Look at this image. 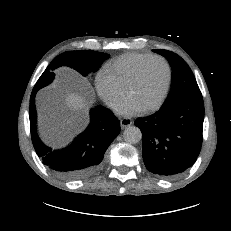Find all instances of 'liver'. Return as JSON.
I'll return each instance as SVG.
<instances>
[{"label":"liver","mask_w":231,"mask_h":231,"mask_svg":"<svg viewBox=\"0 0 231 231\" xmlns=\"http://www.w3.org/2000/svg\"><path fill=\"white\" fill-rule=\"evenodd\" d=\"M64 105L74 113L81 114L87 109V102L85 97L78 92H68L64 96ZM45 114L41 117V134L47 138L50 132V126L59 122L63 125H73L76 122L74 116L61 115L53 111L48 106L44 107Z\"/></svg>","instance_id":"liver-1"}]
</instances>
